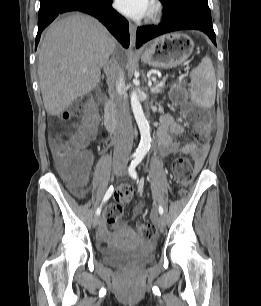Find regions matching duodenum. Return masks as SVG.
Instances as JSON below:
<instances>
[{
  "label": "duodenum",
  "mask_w": 261,
  "mask_h": 306,
  "mask_svg": "<svg viewBox=\"0 0 261 306\" xmlns=\"http://www.w3.org/2000/svg\"><path fill=\"white\" fill-rule=\"evenodd\" d=\"M104 126L111 132L117 128L115 105L111 100H107L104 105Z\"/></svg>",
  "instance_id": "obj_1"
}]
</instances>
